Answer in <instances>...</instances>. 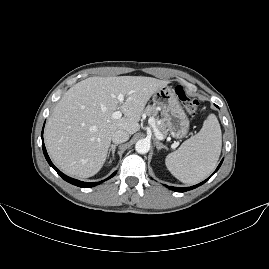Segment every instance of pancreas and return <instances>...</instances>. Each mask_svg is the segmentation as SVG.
<instances>
[{
    "label": "pancreas",
    "mask_w": 269,
    "mask_h": 269,
    "mask_svg": "<svg viewBox=\"0 0 269 269\" xmlns=\"http://www.w3.org/2000/svg\"><path fill=\"white\" fill-rule=\"evenodd\" d=\"M143 113H145L147 116H153V117H155L156 122L159 119V116H157L158 115V110H157L156 105H148L144 109ZM156 128L163 134L164 137L167 136L168 130H167V126H166V123H165V119L164 118L161 119V123L160 124H157L156 123Z\"/></svg>",
    "instance_id": "pancreas-1"
}]
</instances>
